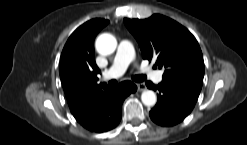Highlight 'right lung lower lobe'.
Segmentation results:
<instances>
[{
  "label": "right lung lower lobe",
  "mask_w": 247,
  "mask_h": 145,
  "mask_svg": "<svg viewBox=\"0 0 247 145\" xmlns=\"http://www.w3.org/2000/svg\"><path fill=\"white\" fill-rule=\"evenodd\" d=\"M136 90L134 83L124 81L116 88H108L95 95L72 114L83 127L90 131L100 133L111 130L121 120V106L124 99Z\"/></svg>",
  "instance_id": "right-lung-lower-lobe-1"
}]
</instances>
